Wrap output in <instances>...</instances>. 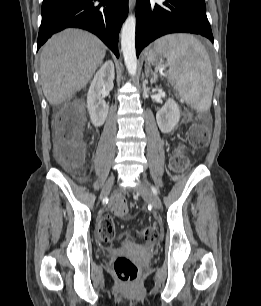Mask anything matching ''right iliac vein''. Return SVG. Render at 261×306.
<instances>
[{
	"label": "right iliac vein",
	"instance_id": "63e3f726",
	"mask_svg": "<svg viewBox=\"0 0 261 306\" xmlns=\"http://www.w3.org/2000/svg\"><path fill=\"white\" fill-rule=\"evenodd\" d=\"M113 182H114V177L112 176V177L109 178V180L106 182L105 186L102 189L101 199L106 197L109 194V192L112 188Z\"/></svg>",
	"mask_w": 261,
	"mask_h": 306
}]
</instances>
